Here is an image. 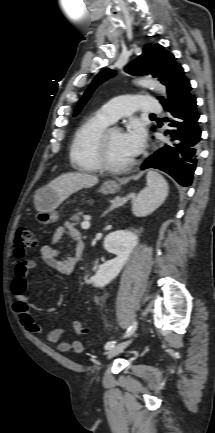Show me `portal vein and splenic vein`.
I'll return each mask as SVG.
<instances>
[{"label":"portal vein and splenic vein","mask_w":215,"mask_h":433,"mask_svg":"<svg viewBox=\"0 0 215 433\" xmlns=\"http://www.w3.org/2000/svg\"><path fill=\"white\" fill-rule=\"evenodd\" d=\"M81 227H82L83 229H88V228L90 227L89 219L86 218V219L81 223Z\"/></svg>","instance_id":"18ae733b"}]
</instances>
